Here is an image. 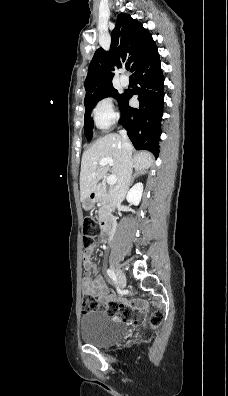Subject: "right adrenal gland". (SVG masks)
Here are the masks:
<instances>
[{
  "label": "right adrenal gland",
  "mask_w": 228,
  "mask_h": 396,
  "mask_svg": "<svg viewBox=\"0 0 228 396\" xmlns=\"http://www.w3.org/2000/svg\"><path fill=\"white\" fill-rule=\"evenodd\" d=\"M143 174H145V171H137V170H136L135 173H134L133 176H132L130 185L133 184V182H134V180H135L136 177L141 176V175H143Z\"/></svg>",
  "instance_id": "2a0ac1e0"
}]
</instances>
